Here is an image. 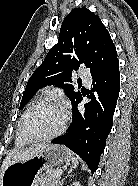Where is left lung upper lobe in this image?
Here are the masks:
<instances>
[{
  "mask_svg": "<svg viewBox=\"0 0 138 186\" xmlns=\"http://www.w3.org/2000/svg\"><path fill=\"white\" fill-rule=\"evenodd\" d=\"M115 60V45L100 18L86 8L73 9L63 21L58 43L28 80L20 109L38 89L51 84L62 87L73 103L80 92L70 84L72 71L84 64L94 75Z\"/></svg>",
  "mask_w": 138,
  "mask_h": 186,
  "instance_id": "left-lung-upper-lobe-1",
  "label": "left lung upper lobe"
}]
</instances>
